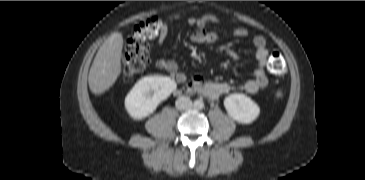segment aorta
Instances as JSON below:
<instances>
[{"instance_id": "aorta-1", "label": "aorta", "mask_w": 365, "mask_h": 180, "mask_svg": "<svg viewBox=\"0 0 365 180\" xmlns=\"http://www.w3.org/2000/svg\"><path fill=\"white\" fill-rule=\"evenodd\" d=\"M195 107H197L198 109H201L203 107V102L202 101H195Z\"/></svg>"}]
</instances>
